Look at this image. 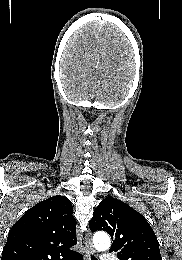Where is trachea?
I'll use <instances>...</instances> for the list:
<instances>
[{"instance_id":"trachea-1","label":"trachea","mask_w":182,"mask_h":260,"mask_svg":"<svg viewBox=\"0 0 182 260\" xmlns=\"http://www.w3.org/2000/svg\"><path fill=\"white\" fill-rule=\"evenodd\" d=\"M91 260H97L94 256H91Z\"/></svg>"}]
</instances>
